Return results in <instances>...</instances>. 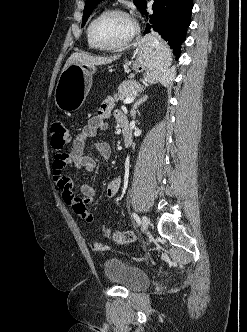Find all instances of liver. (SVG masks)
Returning a JSON list of instances; mask_svg holds the SVG:
<instances>
[{"instance_id": "1", "label": "liver", "mask_w": 247, "mask_h": 332, "mask_svg": "<svg viewBox=\"0 0 247 332\" xmlns=\"http://www.w3.org/2000/svg\"><path fill=\"white\" fill-rule=\"evenodd\" d=\"M117 59H118V56L100 57V56L89 55L86 53L76 52V53H73L68 58L62 71H64L68 66H70L73 63H79V64L88 65V66H95V65L110 64Z\"/></svg>"}]
</instances>
